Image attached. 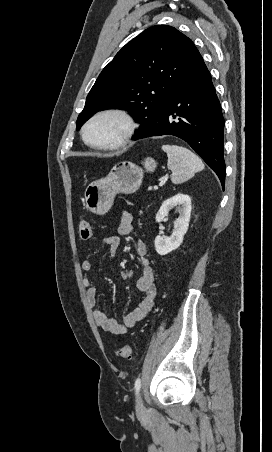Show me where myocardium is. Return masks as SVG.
<instances>
[{
    "instance_id": "1",
    "label": "myocardium",
    "mask_w": 272,
    "mask_h": 452,
    "mask_svg": "<svg viewBox=\"0 0 272 452\" xmlns=\"http://www.w3.org/2000/svg\"><path fill=\"white\" fill-rule=\"evenodd\" d=\"M105 117H113L119 119L123 124V131L121 135L113 142L110 143H93L87 139L86 133L88 128L98 119ZM136 129V123L133 117L125 110L118 108H108L100 110L94 113L83 125L81 130V136L85 144L88 146L101 149V150H117L125 146L132 136L134 135Z\"/></svg>"
}]
</instances>
